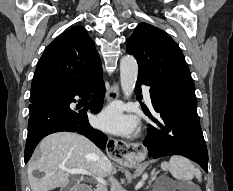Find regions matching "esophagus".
Listing matches in <instances>:
<instances>
[{
  "label": "esophagus",
  "instance_id": "34e87169",
  "mask_svg": "<svg viewBox=\"0 0 233 191\" xmlns=\"http://www.w3.org/2000/svg\"><path fill=\"white\" fill-rule=\"evenodd\" d=\"M120 94L119 84L114 82L110 85L106 97L107 101L117 100ZM106 151L108 155L114 158L117 164H129L134 161L140 160L146 150L140 143L127 144L122 140H117L110 137L108 139Z\"/></svg>",
  "mask_w": 233,
  "mask_h": 191
}]
</instances>
